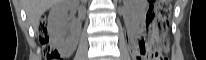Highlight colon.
I'll use <instances>...</instances> for the list:
<instances>
[{"instance_id": "colon-1", "label": "colon", "mask_w": 206, "mask_h": 60, "mask_svg": "<svg viewBox=\"0 0 206 60\" xmlns=\"http://www.w3.org/2000/svg\"><path fill=\"white\" fill-rule=\"evenodd\" d=\"M170 0H157L152 5L156 15L155 21L149 24L150 37L147 42L141 44L134 60H167L163 56L162 40L166 37L167 17L170 11ZM38 37L43 47V54L47 60L59 59V53L50 45L48 31L45 22L38 27Z\"/></svg>"}]
</instances>
